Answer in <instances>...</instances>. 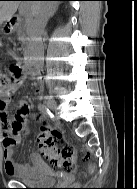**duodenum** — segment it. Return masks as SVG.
Listing matches in <instances>:
<instances>
[{
  "label": "duodenum",
  "mask_w": 137,
  "mask_h": 189,
  "mask_svg": "<svg viewBox=\"0 0 137 189\" xmlns=\"http://www.w3.org/2000/svg\"><path fill=\"white\" fill-rule=\"evenodd\" d=\"M19 25L20 21L18 19L11 18L6 22L5 32L8 34L14 33L18 29ZM25 67L30 75H37V70L34 65V59L32 57H28L26 59Z\"/></svg>",
  "instance_id": "duodenum-1"
}]
</instances>
